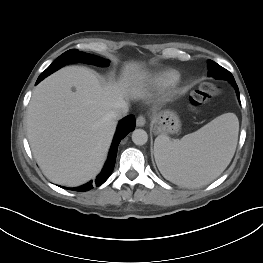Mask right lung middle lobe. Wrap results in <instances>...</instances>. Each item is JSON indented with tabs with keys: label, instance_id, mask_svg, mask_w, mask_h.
Returning <instances> with one entry per match:
<instances>
[{
	"label": "right lung middle lobe",
	"instance_id": "right-lung-middle-lobe-1",
	"mask_svg": "<svg viewBox=\"0 0 263 263\" xmlns=\"http://www.w3.org/2000/svg\"><path fill=\"white\" fill-rule=\"evenodd\" d=\"M77 61L93 64L96 66L109 65V60L102 59L100 57L87 54L84 52H80L79 50L76 49H71L63 53L60 57H58L50 66L53 67L64 66L68 63L77 62Z\"/></svg>",
	"mask_w": 263,
	"mask_h": 263
}]
</instances>
